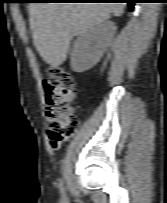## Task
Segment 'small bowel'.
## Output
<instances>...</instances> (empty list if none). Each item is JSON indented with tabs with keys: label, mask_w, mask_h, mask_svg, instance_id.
Segmentation results:
<instances>
[{
	"label": "small bowel",
	"mask_w": 167,
	"mask_h": 203,
	"mask_svg": "<svg viewBox=\"0 0 167 203\" xmlns=\"http://www.w3.org/2000/svg\"><path fill=\"white\" fill-rule=\"evenodd\" d=\"M67 140V138H64L61 142H59L56 146H52L53 148H55V149H59L61 146H62V144L65 142Z\"/></svg>",
	"instance_id": "1"
}]
</instances>
